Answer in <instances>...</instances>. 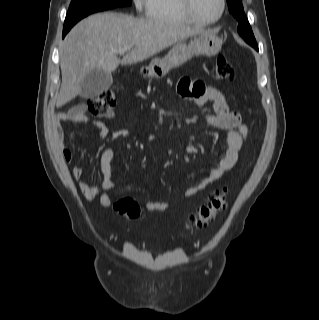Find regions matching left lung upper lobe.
<instances>
[{
  "mask_svg": "<svg viewBox=\"0 0 319 320\" xmlns=\"http://www.w3.org/2000/svg\"><path fill=\"white\" fill-rule=\"evenodd\" d=\"M229 12L238 20V33L243 39L253 46L258 47L248 19L244 13L242 0H227Z\"/></svg>",
  "mask_w": 319,
  "mask_h": 320,
  "instance_id": "5c2ea615",
  "label": "left lung upper lobe"
}]
</instances>
